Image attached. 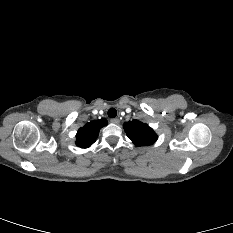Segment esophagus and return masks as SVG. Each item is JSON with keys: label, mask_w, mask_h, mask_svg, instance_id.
<instances>
[{"label": "esophagus", "mask_w": 233, "mask_h": 233, "mask_svg": "<svg viewBox=\"0 0 233 233\" xmlns=\"http://www.w3.org/2000/svg\"><path fill=\"white\" fill-rule=\"evenodd\" d=\"M111 122L114 124H118L120 122V120L118 118H113V119H111Z\"/></svg>", "instance_id": "1"}]
</instances>
